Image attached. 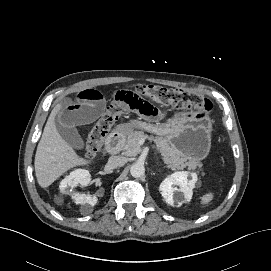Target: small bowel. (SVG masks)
Here are the masks:
<instances>
[{"mask_svg": "<svg viewBox=\"0 0 271 271\" xmlns=\"http://www.w3.org/2000/svg\"><path fill=\"white\" fill-rule=\"evenodd\" d=\"M113 103L125 107V113H133L140 120L156 123L164 119L165 112L137 90L119 89L112 94ZM106 99L95 89L80 91L74 100L62 106L47 123L50 132H58L71 146L79 147L81 139L77 128L90 124L104 112Z\"/></svg>", "mask_w": 271, "mask_h": 271, "instance_id": "small-bowel-1", "label": "small bowel"}]
</instances>
